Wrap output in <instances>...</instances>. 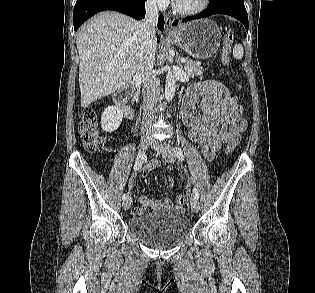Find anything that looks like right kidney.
I'll return each instance as SVG.
<instances>
[{
    "instance_id": "obj_1",
    "label": "right kidney",
    "mask_w": 315,
    "mask_h": 293,
    "mask_svg": "<svg viewBox=\"0 0 315 293\" xmlns=\"http://www.w3.org/2000/svg\"><path fill=\"white\" fill-rule=\"evenodd\" d=\"M123 119V111L117 106H108L101 116V128L111 133L117 130Z\"/></svg>"
}]
</instances>
